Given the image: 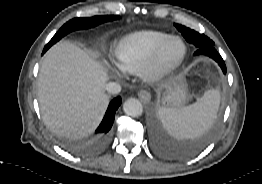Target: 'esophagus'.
I'll use <instances>...</instances> for the list:
<instances>
[{
	"label": "esophagus",
	"instance_id": "obj_1",
	"mask_svg": "<svg viewBox=\"0 0 262 184\" xmlns=\"http://www.w3.org/2000/svg\"><path fill=\"white\" fill-rule=\"evenodd\" d=\"M138 96H139L140 100H141L143 103H145V104L149 103L150 100H151V94H150L149 91H146V90H141V91L138 93Z\"/></svg>",
	"mask_w": 262,
	"mask_h": 184
}]
</instances>
